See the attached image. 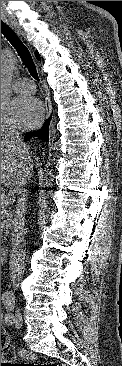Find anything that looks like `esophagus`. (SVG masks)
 Returning <instances> with one entry per match:
<instances>
[{
  "label": "esophagus",
  "instance_id": "esophagus-1",
  "mask_svg": "<svg viewBox=\"0 0 122 366\" xmlns=\"http://www.w3.org/2000/svg\"><path fill=\"white\" fill-rule=\"evenodd\" d=\"M1 19H3L8 25H10L11 27H13L12 23L10 22L9 19H7L5 16H1ZM45 112H46V117L48 118L52 112V106H51V102L49 97H46L45 100Z\"/></svg>",
  "mask_w": 122,
  "mask_h": 366
}]
</instances>
